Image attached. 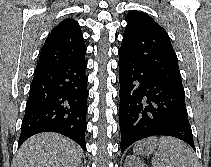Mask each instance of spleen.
<instances>
[{
  "label": "spleen",
  "instance_id": "spleen-1",
  "mask_svg": "<svg viewBox=\"0 0 211 167\" xmlns=\"http://www.w3.org/2000/svg\"><path fill=\"white\" fill-rule=\"evenodd\" d=\"M153 167H198L193 150L173 137H161L151 160Z\"/></svg>",
  "mask_w": 211,
  "mask_h": 167
}]
</instances>
